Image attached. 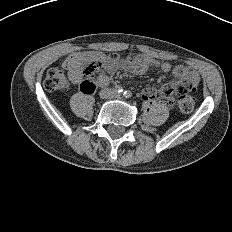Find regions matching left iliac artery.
Listing matches in <instances>:
<instances>
[{
    "label": "left iliac artery",
    "mask_w": 232,
    "mask_h": 232,
    "mask_svg": "<svg viewBox=\"0 0 232 232\" xmlns=\"http://www.w3.org/2000/svg\"><path fill=\"white\" fill-rule=\"evenodd\" d=\"M126 98H130L132 96L131 91H125L123 94Z\"/></svg>",
    "instance_id": "44dca946"
}]
</instances>
